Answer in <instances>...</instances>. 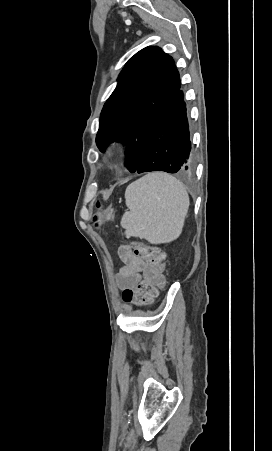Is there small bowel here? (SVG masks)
I'll return each instance as SVG.
<instances>
[{"mask_svg":"<svg viewBox=\"0 0 272 451\" xmlns=\"http://www.w3.org/2000/svg\"><path fill=\"white\" fill-rule=\"evenodd\" d=\"M132 251L133 249L130 245L121 244L118 248L119 258L123 262V266L119 268L116 277L117 285L120 289L133 287L139 280V274L147 267L146 258L145 260H132Z\"/></svg>","mask_w":272,"mask_h":451,"instance_id":"small-bowel-1","label":"small bowel"}]
</instances>
